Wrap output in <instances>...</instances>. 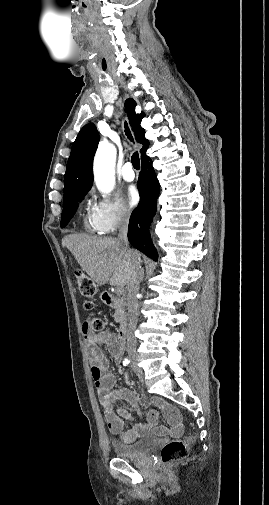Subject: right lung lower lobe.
I'll return each mask as SVG.
<instances>
[{
    "instance_id": "1",
    "label": "right lung lower lobe",
    "mask_w": 269,
    "mask_h": 505,
    "mask_svg": "<svg viewBox=\"0 0 269 505\" xmlns=\"http://www.w3.org/2000/svg\"><path fill=\"white\" fill-rule=\"evenodd\" d=\"M140 202L131 214L128 227V240L138 250L153 260L158 254L148 232L149 225L156 213V200L159 195V182L152 167V161L142 159V171L138 179Z\"/></svg>"
}]
</instances>
